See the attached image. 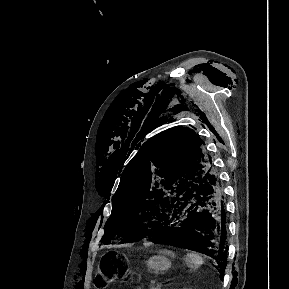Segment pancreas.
Wrapping results in <instances>:
<instances>
[{
  "instance_id": "cf45deb5",
  "label": "pancreas",
  "mask_w": 289,
  "mask_h": 289,
  "mask_svg": "<svg viewBox=\"0 0 289 289\" xmlns=\"http://www.w3.org/2000/svg\"><path fill=\"white\" fill-rule=\"evenodd\" d=\"M150 289H160L158 286H151Z\"/></svg>"
}]
</instances>
